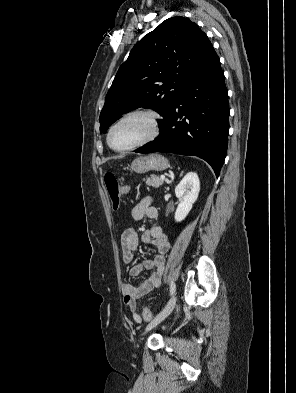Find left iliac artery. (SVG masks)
<instances>
[{"mask_svg":"<svg viewBox=\"0 0 296 393\" xmlns=\"http://www.w3.org/2000/svg\"><path fill=\"white\" fill-rule=\"evenodd\" d=\"M176 291V284L174 281H170V295H173Z\"/></svg>","mask_w":296,"mask_h":393,"instance_id":"obj_1","label":"left iliac artery"}]
</instances>
